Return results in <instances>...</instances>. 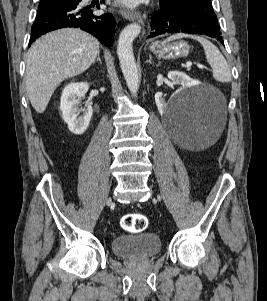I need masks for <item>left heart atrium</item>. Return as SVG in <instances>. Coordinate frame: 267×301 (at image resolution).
Instances as JSON below:
<instances>
[{"label": "left heart atrium", "instance_id": "39dd6f15", "mask_svg": "<svg viewBox=\"0 0 267 301\" xmlns=\"http://www.w3.org/2000/svg\"><path fill=\"white\" fill-rule=\"evenodd\" d=\"M123 4L128 6H134L138 3L139 0H121Z\"/></svg>", "mask_w": 267, "mask_h": 301}]
</instances>
